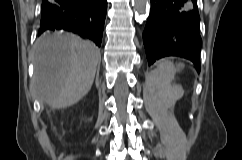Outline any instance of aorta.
Returning a JSON list of instances; mask_svg holds the SVG:
<instances>
[{
    "mask_svg": "<svg viewBox=\"0 0 242 160\" xmlns=\"http://www.w3.org/2000/svg\"><path fill=\"white\" fill-rule=\"evenodd\" d=\"M134 7L138 15L144 16L150 8V0H133Z\"/></svg>",
    "mask_w": 242,
    "mask_h": 160,
    "instance_id": "aorta-1",
    "label": "aorta"
}]
</instances>
